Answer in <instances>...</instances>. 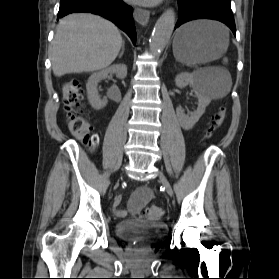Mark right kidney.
<instances>
[{
	"label": "right kidney",
	"mask_w": 279,
	"mask_h": 279,
	"mask_svg": "<svg viewBox=\"0 0 279 279\" xmlns=\"http://www.w3.org/2000/svg\"><path fill=\"white\" fill-rule=\"evenodd\" d=\"M109 74H116L119 79H124L127 76V67L124 64H114L97 73H93L86 84L87 96L90 105L95 110H100L107 105V99H101L98 93V83L108 77Z\"/></svg>",
	"instance_id": "ca27d5eb"
}]
</instances>
